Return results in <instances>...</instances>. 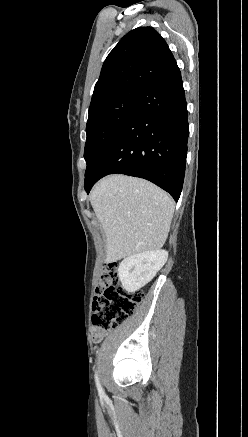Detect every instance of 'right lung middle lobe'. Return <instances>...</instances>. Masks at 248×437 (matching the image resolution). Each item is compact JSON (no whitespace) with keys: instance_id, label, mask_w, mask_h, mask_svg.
I'll use <instances>...</instances> for the list:
<instances>
[{"instance_id":"1","label":"right lung middle lobe","mask_w":248,"mask_h":437,"mask_svg":"<svg viewBox=\"0 0 248 437\" xmlns=\"http://www.w3.org/2000/svg\"><path fill=\"white\" fill-rule=\"evenodd\" d=\"M138 94L139 92L121 94L89 112L84 151V158L87 164L85 176L89 173L101 149L130 112Z\"/></svg>"}]
</instances>
